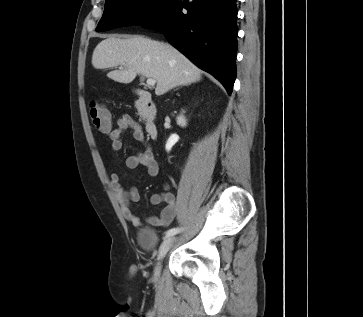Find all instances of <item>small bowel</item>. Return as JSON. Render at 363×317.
Masks as SVG:
<instances>
[{"instance_id": "obj_1", "label": "small bowel", "mask_w": 363, "mask_h": 317, "mask_svg": "<svg viewBox=\"0 0 363 317\" xmlns=\"http://www.w3.org/2000/svg\"><path fill=\"white\" fill-rule=\"evenodd\" d=\"M129 129L132 130V134L135 140L146 144V137L142 127L136 121H134L131 116L123 115L119 118L117 126L115 128L106 131L107 135L111 140V148L113 151H119L122 149V135ZM125 166L128 169H134L142 166L152 177L157 176L159 173V166L150 147H147V149L142 153L128 156L125 159ZM110 185L115 192L123 216L131 224L135 226L140 225V218L132 212L130 206L132 201H138L140 199L138 189L136 187H131L127 190L124 189L121 186L120 176L117 173L111 174ZM162 202L166 203V206L161 211L160 215L151 217L149 221L151 224L158 227H167L174 221L176 214L179 210V203L176 200L175 196L169 191L168 183H164V192L154 193L150 196V203L152 205H158Z\"/></svg>"}]
</instances>
